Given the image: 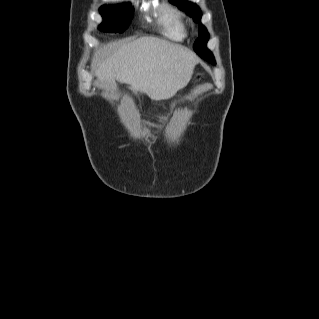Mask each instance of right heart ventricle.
Wrapping results in <instances>:
<instances>
[{"instance_id":"e07e8e85","label":"right heart ventricle","mask_w":319,"mask_h":319,"mask_svg":"<svg viewBox=\"0 0 319 319\" xmlns=\"http://www.w3.org/2000/svg\"><path fill=\"white\" fill-rule=\"evenodd\" d=\"M157 25L160 33L169 40L182 41L187 36L182 15L168 4L159 7Z\"/></svg>"}]
</instances>
